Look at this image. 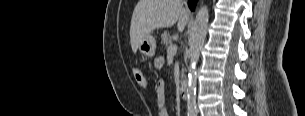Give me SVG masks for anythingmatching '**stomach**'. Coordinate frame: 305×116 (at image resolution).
<instances>
[{"label": "stomach", "instance_id": "stomach-1", "mask_svg": "<svg viewBox=\"0 0 305 116\" xmlns=\"http://www.w3.org/2000/svg\"><path fill=\"white\" fill-rule=\"evenodd\" d=\"M139 51L148 57H153L156 51V40L148 33L139 44Z\"/></svg>", "mask_w": 305, "mask_h": 116}]
</instances>
